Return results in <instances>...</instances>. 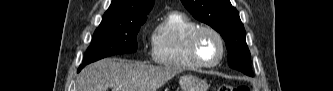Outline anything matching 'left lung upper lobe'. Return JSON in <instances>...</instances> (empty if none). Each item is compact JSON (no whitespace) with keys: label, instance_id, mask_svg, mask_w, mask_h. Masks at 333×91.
Instances as JSON below:
<instances>
[{"label":"left lung upper lobe","instance_id":"1","mask_svg":"<svg viewBox=\"0 0 333 91\" xmlns=\"http://www.w3.org/2000/svg\"><path fill=\"white\" fill-rule=\"evenodd\" d=\"M199 21L218 31L226 41L228 64L231 68L252 76L250 52L239 13L230 0H181Z\"/></svg>","mask_w":333,"mask_h":91}]
</instances>
